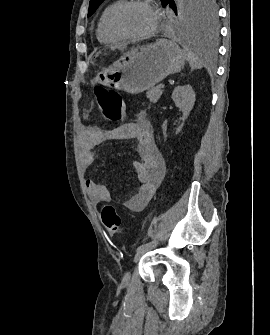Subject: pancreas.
<instances>
[{
  "instance_id": "cf45deb5",
  "label": "pancreas",
  "mask_w": 270,
  "mask_h": 335,
  "mask_svg": "<svg viewBox=\"0 0 270 335\" xmlns=\"http://www.w3.org/2000/svg\"><path fill=\"white\" fill-rule=\"evenodd\" d=\"M161 85L162 84H159L156 88H152V90H148V92H146V98H149L150 102H153V104H156L160 96H162V90H160Z\"/></svg>"
}]
</instances>
